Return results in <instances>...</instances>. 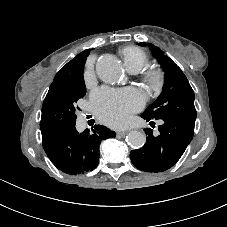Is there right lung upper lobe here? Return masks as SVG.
<instances>
[{
    "instance_id": "1",
    "label": "right lung upper lobe",
    "mask_w": 227,
    "mask_h": 227,
    "mask_svg": "<svg viewBox=\"0 0 227 227\" xmlns=\"http://www.w3.org/2000/svg\"><path fill=\"white\" fill-rule=\"evenodd\" d=\"M90 49L85 50L78 54L75 58L64 65L56 74L54 80L70 77L76 78L83 73L84 64L87 56L89 55Z\"/></svg>"
}]
</instances>
